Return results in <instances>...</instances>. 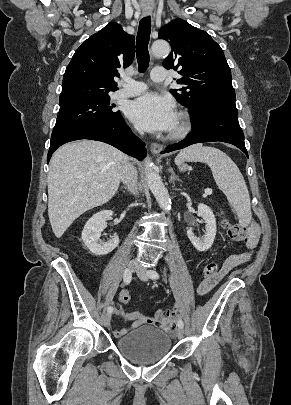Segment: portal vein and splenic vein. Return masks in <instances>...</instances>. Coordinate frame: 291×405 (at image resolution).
<instances>
[{"mask_svg": "<svg viewBox=\"0 0 291 405\" xmlns=\"http://www.w3.org/2000/svg\"><path fill=\"white\" fill-rule=\"evenodd\" d=\"M212 194V189L206 188L205 189V195H211Z\"/></svg>", "mask_w": 291, "mask_h": 405, "instance_id": "1", "label": "portal vein and splenic vein"}]
</instances>
